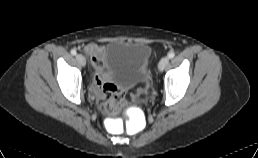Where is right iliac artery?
<instances>
[{
  "instance_id": "1",
  "label": "right iliac artery",
  "mask_w": 258,
  "mask_h": 158,
  "mask_svg": "<svg viewBox=\"0 0 258 158\" xmlns=\"http://www.w3.org/2000/svg\"><path fill=\"white\" fill-rule=\"evenodd\" d=\"M76 53H77V52H76L75 49H72V50H71V54H72V55H76Z\"/></svg>"
}]
</instances>
